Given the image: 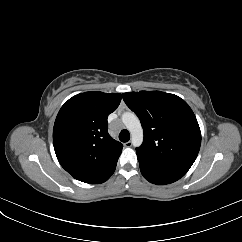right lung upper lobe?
Masks as SVG:
<instances>
[{
  "label": "right lung upper lobe",
  "mask_w": 242,
  "mask_h": 242,
  "mask_svg": "<svg viewBox=\"0 0 242 242\" xmlns=\"http://www.w3.org/2000/svg\"><path fill=\"white\" fill-rule=\"evenodd\" d=\"M121 101L119 93L91 91L70 98L53 128V145L61 166L82 182L93 180L118 160L123 145L107 131V118Z\"/></svg>",
  "instance_id": "right-lung-upper-lobe-1"
}]
</instances>
